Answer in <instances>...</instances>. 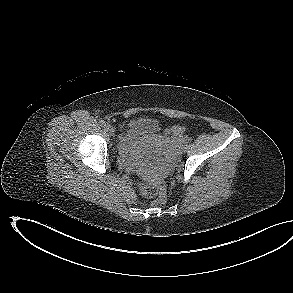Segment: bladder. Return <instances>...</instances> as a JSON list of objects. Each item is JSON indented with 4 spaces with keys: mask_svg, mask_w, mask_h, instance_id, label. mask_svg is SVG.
I'll return each instance as SVG.
<instances>
[{
    "mask_svg": "<svg viewBox=\"0 0 293 293\" xmlns=\"http://www.w3.org/2000/svg\"><path fill=\"white\" fill-rule=\"evenodd\" d=\"M159 131V124L151 118H138L129 123L123 144L130 146L143 138L155 136Z\"/></svg>",
    "mask_w": 293,
    "mask_h": 293,
    "instance_id": "obj_1",
    "label": "bladder"
}]
</instances>
